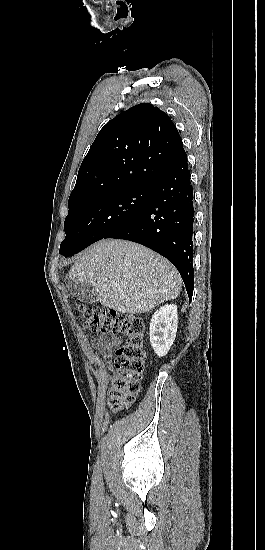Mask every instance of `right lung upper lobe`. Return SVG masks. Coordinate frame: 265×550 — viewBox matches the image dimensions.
I'll list each match as a JSON object with an SVG mask.
<instances>
[{"mask_svg":"<svg viewBox=\"0 0 265 550\" xmlns=\"http://www.w3.org/2000/svg\"><path fill=\"white\" fill-rule=\"evenodd\" d=\"M185 153L170 117L152 104H138L100 130L79 168L68 204L152 187Z\"/></svg>","mask_w":265,"mask_h":550,"instance_id":"1","label":"right lung upper lobe"}]
</instances>
